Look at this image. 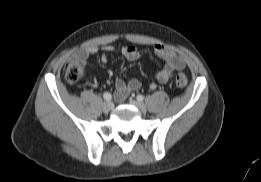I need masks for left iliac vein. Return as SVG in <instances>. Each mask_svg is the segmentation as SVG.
<instances>
[{"label":"left iliac vein","instance_id":"1","mask_svg":"<svg viewBox=\"0 0 261 182\" xmlns=\"http://www.w3.org/2000/svg\"><path fill=\"white\" fill-rule=\"evenodd\" d=\"M130 104L139 108L143 112L147 110L146 105L142 102L137 101V100H130Z\"/></svg>","mask_w":261,"mask_h":182}]
</instances>
